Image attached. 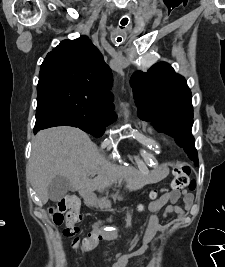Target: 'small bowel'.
I'll return each instance as SVG.
<instances>
[{
    "label": "small bowel",
    "mask_w": 225,
    "mask_h": 267,
    "mask_svg": "<svg viewBox=\"0 0 225 267\" xmlns=\"http://www.w3.org/2000/svg\"><path fill=\"white\" fill-rule=\"evenodd\" d=\"M182 199L183 204L177 205L175 204L178 199ZM193 205V195L188 191H182L179 192H170L165 195H163L160 199L155 201L149 206V211L152 213V215L149 218L148 223V232L146 236L144 237L142 241V245L135 251L131 253H126L121 255L117 262L113 265V267H126L128 261L132 257L141 256L143 255L146 250L149 248L152 236L162 230V227L159 223V217L162 209L164 208V211L162 212V217L166 218L168 214L175 213L178 218L182 217L187 210H189ZM94 231V228L90 232ZM112 234L109 230H106L104 232H100L93 238L94 247L98 244L100 240L103 238L111 237Z\"/></svg>",
    "instance_id": "1"
}]
</instances>
